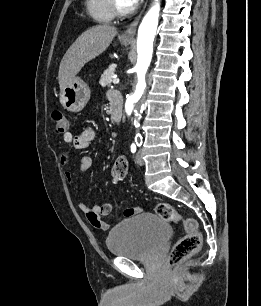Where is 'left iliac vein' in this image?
Returning <instances> with one entry per match:
<instances>
[{
  "label": "left iliac vein",
  "instance_id": "obj_1",
  "mask_svg": "<svg viewBox=\"0 0 261 306\" xmlns=\"http://www.w3.org/2000/svg\"><path fill=\"white\" fill-rule=\"evenodd\" d=\"M135 160H136L138 165H140V166L144 165V160L142 158V152H141L140 149L135 154Z\"/></svg>",
  "mask_w": 261,
  "mask_h": 306
}]
</instances>
